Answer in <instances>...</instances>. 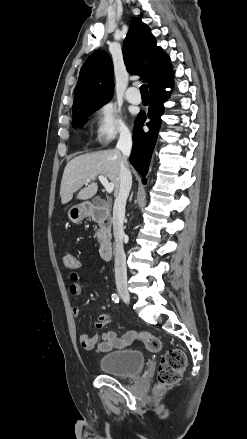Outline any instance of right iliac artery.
I'll list each match as a JSON object with an SVG mask.
<instances>
[{"mask_svg": "<svg viewBox=\"0 0 247 439\" xmlns=\"http://www.w3.org/2000/svg\"><path fill=\"white\" fill-rule=\"evenodd\" d=\"M111 298L115 303L119 302V296L116 293L112 294Z\"/></svg>", "mask_w": 247, "mask_h": 439, "instance_id": "right-iliac-artery-1", "label": "right iliac artery"}]
</instances>
